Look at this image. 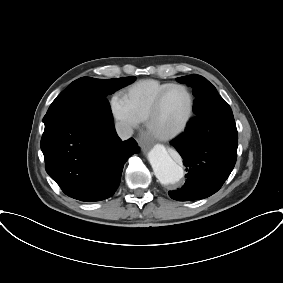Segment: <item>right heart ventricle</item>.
<instances>
[{
	"label": "right heart ventricle",
	"instance_id": "1",
	"mask_svg": "<svg viewBox=\"0 0 283 283\" xmlns=\"http://www.w3.org/2000/svg\"><path fill=\"white\" fill-rule=\"evenodd\" d=\"M171 82L144 79L128 87L122 93L131 114L138 122H145L157 95Z\"/></svg>",
	"mask_w": 283,
	"mask_h": 283
}]
</instances>
